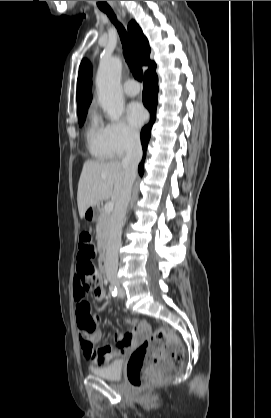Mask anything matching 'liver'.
Masks as SVG:
<instances>
[{"label":"liver","mask_w":271,"mask_h":418,"mask_svg":"<svg viewBox=\"0 0 271 418\" xmlns=\"http://www.w3.org/2000/svg\"><path fill=\"white\" fill-rule=\"evenodd\" d=\"M126 170L122 163L115 161L87 160L80 175L77 204L80 218L85 211L111 198L116 203L125 182Z\"/></svg>","instance_id":"liver-1"}]
</instances>
